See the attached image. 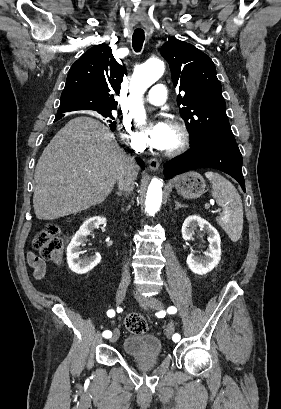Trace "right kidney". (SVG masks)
Wrapping results in <instances>:
<instances>
[{
	"label": "right kidney",
	"instance_id": "obj_1",
	"mask_svg": "<svg viewBox=\"0 0 281 409\" xmlns=\"http://www.w3.org/2000/svg\"><path fill=\"white\" fill-rule=\"evenodd\" d=\"M98 225H106V219H103V217H89V219H86L67 247L71 255V271L77 273V275H85L88 271H92L101 261L100 253H95L91 257H80L81 245L87 243L88 235H91Z\"/></svg>",
	"mask_w": 281,
	"mask_h": 409
}]
</instances>
